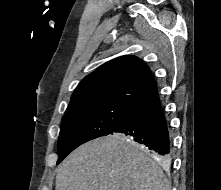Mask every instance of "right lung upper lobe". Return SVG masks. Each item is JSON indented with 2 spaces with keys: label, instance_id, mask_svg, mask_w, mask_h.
<instances>
[{
  "label": "right lung upper lobe",
  "instance_id": "obj_1",
  "mask_svg": "<svg viewBox=\"0 0 221 190\" xmlns=\"http://www.w3.org/2000/svg\"><path fill=\"white\" fill-rule=\"evenodd\" d=\"M158 94L149 67L139 58L125 55L106 62L76 87L68 105L114 102L136 108Z\"/></svg>",
  "mask_w": 221,
  "mask_h": 190
}]
</instances>
